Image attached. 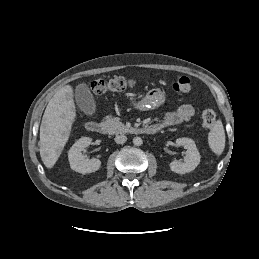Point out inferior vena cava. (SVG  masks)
I'll list each match as a JSON object with an SVG mask.
<instances>
[{
    "instance_id": "1",
    "label": "inferior vena cava",
    "mask_w": 259,
    "mask_h": 259,
    "mask_svg": "<svg viewBox=\"0 0 259 259\" xmlns=\"http://www.w3.org/2000/svg\"><path fill=\"white\" fill-rule=\"evenodd\" d=\"M126 140H127V137L125 135H117L115 137V142L117 144H124L126 142Z\"/></svg>"
}]
</instances>
